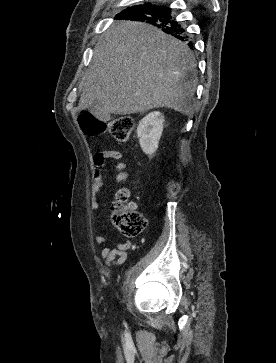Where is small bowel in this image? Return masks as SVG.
<instances>
[{
	"label": "small bowel",
	"mask_w": 276,
	"mask_h": 363,
	"mask_svg": "<svg viewBox=\"0 0 276 363\" xmlns=\"http://www.w3.org/2000/svg\"><path fill=\"white\" fill-rule=\"evenodd\" d=\"M124 155L122 152L117 150H102L96 153L93 157V185H92V199L91 206L94 209L100 207L99 195L103 194L105 191L102 171L105 166V162L108 159L118 160V162L114 165V170L117 171V175L115 180L117 182L124 181L128 178L129 174L127 171V164L122 162ZM132 208H135L136 205L132 204ZM102 222V218L98 217L95 219V224L99 226ZM96 243L99 245H107V240L103 235H98L96 237ZM130 248V242L125 241L123 243L106 246L101 251V258L104 260L107 266H111L112 264L121 265L126 261L127 254L126 251Z\"/></svg>",
	"instance_id": "c3829d8e"
}]
</instances>
